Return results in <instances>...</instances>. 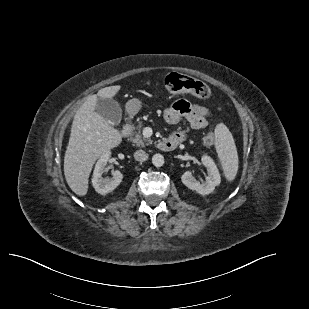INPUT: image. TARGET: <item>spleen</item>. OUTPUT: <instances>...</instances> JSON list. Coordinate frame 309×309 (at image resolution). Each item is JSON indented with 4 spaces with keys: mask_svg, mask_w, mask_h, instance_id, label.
<instances>
[{
    "mask_svg": "<svg viewBox=\"0 0 309 309\" xmlns=\"http://www.w3.org/2000/svg\"><path fill=\"white\" fill-rule=\"evenodd\" d=\"M216 151L228 181H233L238 172V153L233 136L229 129L223 123L215 128Z\"/></svg>",
    "mask_w": 309,
    "mask_h": 309,
    "instance_id": "spleen-1",
    "label": "spleen"
}]
</instances>
